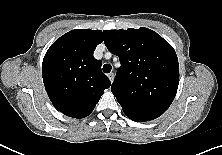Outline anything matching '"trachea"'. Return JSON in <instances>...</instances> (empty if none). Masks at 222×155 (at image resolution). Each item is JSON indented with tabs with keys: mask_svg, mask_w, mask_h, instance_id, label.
Segmentation results:
<instances>
[{
	"mask_svg": "<svg viewBox=\"0 0 222 155\" xmlns=\"http://www.w3.org/2000/svg\"><path fill=\"white\" fill-rule=\"evenodd\" d=\"M112 66L110 64H105L103 66V72L104 73H110Z\"/></svg>",
	"mask_w": 222,
	"mask_h": 155,
	"instance_id": "obj_1",
	"label": "trachea"
}]
</instances>
